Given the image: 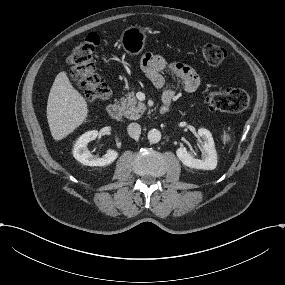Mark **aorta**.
Returning a JSON list of instances; mask_svg holds the SVG:
<instances>
[{"mask_svg":"<svg viewBox=\"0 0 285 285\" xmlns=\"http://www.w3.org/2000/svg\"><path fill=\"white\" fill-rule=\"evenodd\" d=\"M150 143L155 144L161 140V133L157 129H151L147 134Z\"/></svg>","mask_w":285,"mask_h":285,"instance_id":"762f6f07","label":"aorta"}]
</instances>
